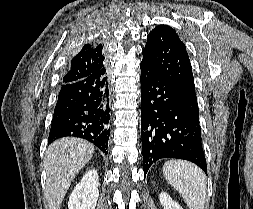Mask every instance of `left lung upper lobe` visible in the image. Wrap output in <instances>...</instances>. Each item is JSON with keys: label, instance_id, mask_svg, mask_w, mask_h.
<instances>
[{"label": "left lung upper lobe", "instance_id": "left-lung-upper-lobe-1", "mask_svg": "<svg viewBox=\"0 0 253 209\" xmlns=\"http://www.w3.org/2000/svg\"><path fill=\"white\" fill-rule=\"evenodd\" d=\"M142 62L170 81L188 110L199 118L190 60L174 29L159 25L148 34Z\"/></svg>", "mask_w": 253, "mask_h": 209}]
</instances>
